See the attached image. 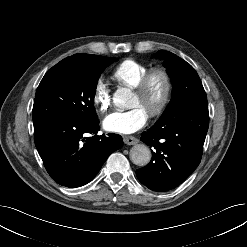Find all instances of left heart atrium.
<instances>
[{
	"label": "left heart atrium",
	"instance_id": "obj_1",
	"mask_svg": "<svg viewBox=\"0 0 247 247\" xmlns=\"http://www.w3.org/2000/svg\"><path fill=\"white\" fill-rule=\"evenodd\" d=\"M148 121V112L141 106L129 110H116L103 120V127L110 132L130 134L138 131Z\"/></svg>",
	"mask_w": 247,
	"mask_h": 247
}]
</instances>
